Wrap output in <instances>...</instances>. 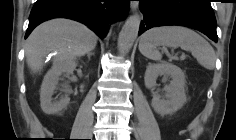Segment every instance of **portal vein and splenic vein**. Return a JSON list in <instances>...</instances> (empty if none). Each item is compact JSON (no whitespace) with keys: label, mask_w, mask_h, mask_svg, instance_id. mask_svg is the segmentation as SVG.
<instances>
[{"label":"portal vein and splenic vein","mask_w":236,"mask_h":140,"mask_svg":"<svg viewBox=\"0 0 236 140\" xmlns=\"http://www.w3.org/2000/svg\"><path fill=\"white\" fill-rule=\"evenodd\" d=\"M180 59H181V60L185 59V55H182V56L180 57Z\"/></svg>","instance_id":"portal-vein-and-splenic-vein-1"}]
</instances>
